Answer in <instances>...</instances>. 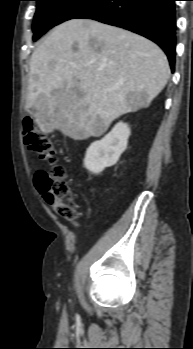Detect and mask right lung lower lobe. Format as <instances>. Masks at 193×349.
Returning <instances> with one entry per match:
<instances>
[{
  "instance_id": "98d812e1",
  "label": "right lung lower lobe",
  "mask_w": 193,
  "mask_h": 349,
  "mask_svg": "<svg viewBox=\"0 0 193 349\" xmlns=\"http://www.w3.org/2000/svg\"><path fill=\"white\" fill-rule=\"evenodd\" d=\"M176 0H97L75 18L93 19L140 34L166 53L172 72L176 45Z\"/></svg>"
}]
</instances>
